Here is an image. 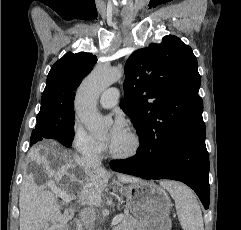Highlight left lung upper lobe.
I'll list each match as a JSON object with an SVG mask.
<instances>
[{
    "mask_svg": "<svg viewBox=\"0 0 241 230\" xmlns=\"http://www.w3.org/2000/svg\"><path fill=\"white\" fill-rule=\"evenodd\" d=\"M197 68L191 47L173 35L128 58L120 107L134 123L140 142L206 137Z\"/></svg>",
    "mask_w": 241,
    "mask_h": 230,
    "instance_id": "left-lung-upper-lobe-1",
    "label": "left lung upper lobe"
}]
</instances>
